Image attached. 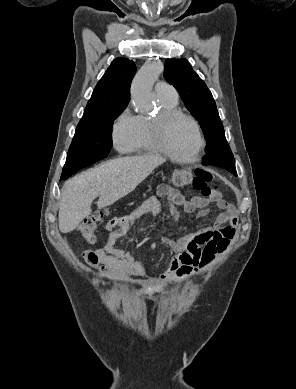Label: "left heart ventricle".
Masks as SVG:
<instances>
[{
	"instance_id": "1",
	"label": "left heart ventricle",
	"mask_w": 296,
	"mask_h": 389,
	"mask_svg": "<svg viewBox=\"0 0 296 389\" xmlns=\"http://www.w3.org/2000/svg\"><path fill=\"white\" fill-rule=\"evenodd\" d=\"M166 143L175 155L183 158L192 156L198 145L194 126L183 118L174 120L168 126Z\"/></svg>"
}]
</instances>
